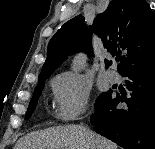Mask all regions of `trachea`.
Instances as JSON below:
<instances>
[{
	"mask_svg": "<svg viewBox=\"0 0 155 149\" xmlns=\"http://www.w3.org/2000/svg\"><path fill=\"white\" fill-rule=\"evenodd\" d=\"M116 61H117V62L120 61V58H116Z\"/></svg>",
	"mask_w": 155,
	"mask_h": 149,
	"instance_id": "trachea-1",
	"label": "trachea"
}]
</instances>
